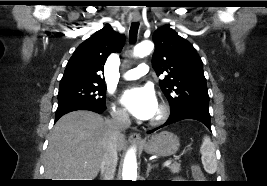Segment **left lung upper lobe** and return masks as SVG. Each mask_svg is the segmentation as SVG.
Segmentation results:
<instances>
[{"mask_svg": "<svg viewBox=\"0 0 267 186\" xmlns=\"http://www.w3.org/2000/svg\"><path fill=\"white\" fill-rule=\"evenodd\" d=\"M153 41L152 66L158 75L168 73L159 85L170 103L171 112L185 108L208 110L203 62L195 48L168 26L156 30Z\"/></svg>", "mask_w": 267, "mask_h": 186, "instance_id": "1", "label": "left lung upper lobe"}]
</instances>
